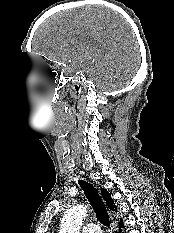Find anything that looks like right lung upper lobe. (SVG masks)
Masks as SVG:
<instances>
[{"label":"right lung upper lobe","instance_id":"right-lung-upper-lobe-1","mask_svg":"<svg viewBox=\"0 0 174 233\" xmlns=\"http://www.w3.org/2000/svg\"><path fill=\"white\" fill-rule=\"evenodd\" d=\"M101 194L103 199L106 201V205L113 210H116V208L114 209L115 205H114V201L111 198L109 192H107L105 189L101 190ZM120 225H122V220H120Z\"/></svg>","mask_w":174,"mask_h":233}]
</instances>
